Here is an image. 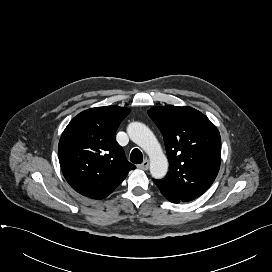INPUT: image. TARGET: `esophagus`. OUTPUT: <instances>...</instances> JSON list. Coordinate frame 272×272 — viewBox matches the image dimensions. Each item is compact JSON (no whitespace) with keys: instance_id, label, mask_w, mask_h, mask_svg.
<instances>
[{"instance_id":"esophagus-1","label":"esophagus","mask_w":272,"mask_h":272,"mask_svg":"<svg viewBox=\"0 0 272 272\" xmlns=\"http://www.w3.org/2000/svg\"><path fill=\"white\" fill-rule=\"evenodd\" d=\"M138 168L147 170L149 168V161L145 159L140 165H138Z\"/></svg>"}]
</instances>
